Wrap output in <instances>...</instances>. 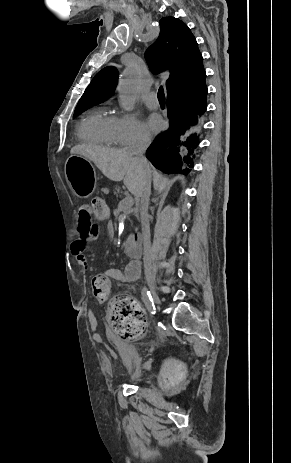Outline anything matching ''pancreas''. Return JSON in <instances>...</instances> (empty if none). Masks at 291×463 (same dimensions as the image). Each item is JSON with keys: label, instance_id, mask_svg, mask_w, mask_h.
Segmentation results:
<instances>
[{"label": "pancreas", "instance_id": "1", "mask_svg": "<svg viewBox=\"0 0 291 463\" xmlns=\"http://www.w3.org/2000/svg\"><path fill=\"white\" fill-rule=\"evenodd\" d=\"M113 193H114V195L116 196V198H118V197L122 198V197H123L122 191H121L120 188H118L117 186H115V187L113 188Z\"/></svg>", "mask_w": 291, "mask_h": 463}]
</instances>
